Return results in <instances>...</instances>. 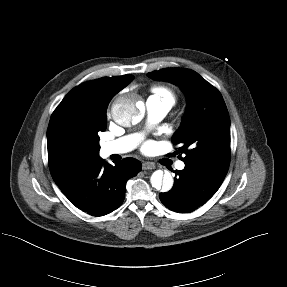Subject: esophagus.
Wrapping results in <instances>:
<instances>
[{"label": "esophagus", "instance_id": "34e87169", "mask_svg": "<svg viewBox=\"0 0 287 287\" xmlns=\"http://www.w3.org/2000/svg\"><path fill=\"white\" fill-rule=\"evenodd\" d=\"M142 168H143V170H152V169H155L156 167H155L154 163L145 162V163H143Z\"/></svg>", "mask_w": 287, "mask_h": 287}]
</instances>
